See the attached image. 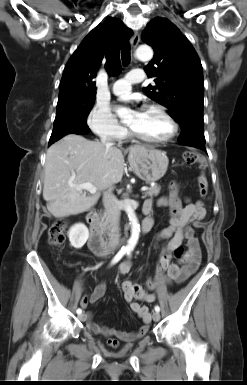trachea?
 Instances as JSON below:
<instances>
[{"instance_id":"3493384b","label":"trachea","mask_w":247,"mask_h":385,"mask_svg":"<svg viewBox=\"0 0 247 385\" xmlns=\"http://www.w3.org/2000/svg\"><path fill=\"white\" fill-rule=\"evenodd\" d=\"M121 58L124 66L128 65L130 62V45L128 40H126L121 48Z\"/></svg>"}]
</instances>
